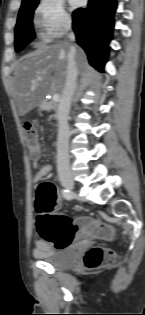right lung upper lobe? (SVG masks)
<instances>
[{
	"label": "right lung upper lobe",
	"mask_w": 145,
	"mask_h": 315,
	"mask_svg": "<svg viewBox=\"0 0 145 315\" xmlns=\"http://www.w3.org/2000/svg\"><path fill=\"white\" fill-rule=\"evenodd\" d=\"M31 1H34V0H23L22 1V5L27 4V3L31 2Z\"/></svg>",
	"instance_id": "right-lung-upper-lobe-1"
}]
</instances>
